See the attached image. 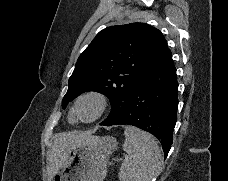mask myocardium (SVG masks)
<instances>
[{"instance_id":"f54148a6","label":"myocardium","mask_w":228,"mask_h":181,"mask_svg":"<svg viewBox=\"0 0 228 181\" xmlns=\"http://www.w3.org/2000/svg\"><path fill=\"white\" fill-rule=\"evenodd\" d=\"M83 101H88L92 104L93 107V112L90 118L85 119L84 121H92L95 120L96 118H98L102 111L104 110L105 107V98L97 93H90V94H86L81 96L75 104V113L77 115H79V111H80V104Z\"/></svg>"}]
</instances>
